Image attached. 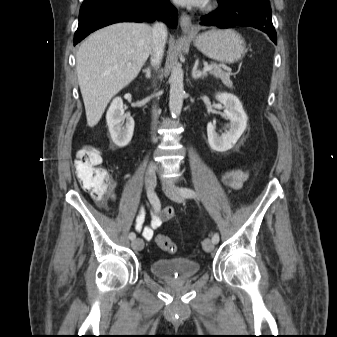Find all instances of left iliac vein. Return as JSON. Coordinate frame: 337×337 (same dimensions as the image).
<instances>
[{
	"mask_svg": "<svg viewBox=\"0 0 337 337\" xmlns=\"http://www.w3.org/2000/svg\"><path fill=\"white\" fill-rule=\"evenodd\" d=\"M165 194L173 201L182 202L183 197L180 194V190L172 184H166L164 187ZM203 249L206 252H211L214 249V243L211 239L206 238L203 241Z\"/></svg>",
	"mask_w": 337,
	"mask_h": 337,
	"instance_id": "1",
	"label": "left iliac vein"
}]
</instances>
